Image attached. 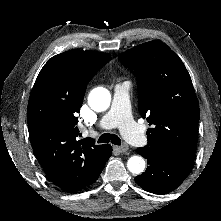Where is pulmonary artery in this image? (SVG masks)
Returning a JSON list of instances; mask_svg holds the SVG:
<instances>
[{"mask_svg": "<svg viewBox=\"0 0 221 221\" xmlns=\"http://www.w3.org/2000/svg\"><path fill=\"white\" fill-rule=\"evenodd\" d=\"M130 83L123 82L115 85L113 100L110 109L99 121L102 129L120 128L124 137L132 145L145 146L147 138L141 127L134 122L129 105Z\"/></svg>", "mask_w": 221, "mask_h": 221, "instance_id": "e3ab8cb5", "label": "pulmonary artery"}]
</instances>
